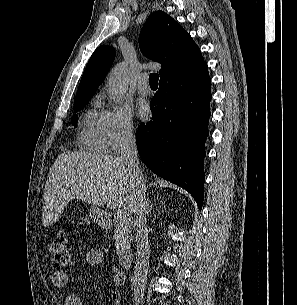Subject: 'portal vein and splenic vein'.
I'll list each match as a JSON object with an SVG mask.
<instances>
[{
  "label": "portal vein and splenic vein",
  "mask_w": 297,
  "mask_h": 305,
  "mask_svg": "<svg viewBox=\"0 0 297 305\" xmlns=\"http://www.w3.org/2000/svg\"><path fill=\"white\" fill-rule=\"evenodd\" d=\"M119 219L120 220H126V219H128V214H127V212L126 211H121L120 213H119Z\"/></svg>",
  "instance_id": "1"
}]
</instances>
